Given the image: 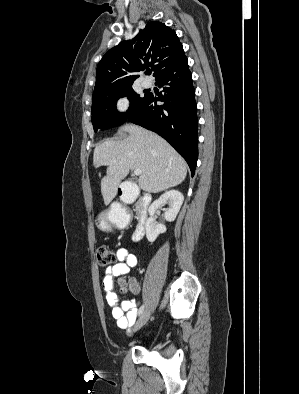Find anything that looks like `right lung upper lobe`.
Segmentation results:
<instances>
[{
    "label": "right lung upper lobe",
    "mask_w": 299,
    "mask_h": 394,
    "mask_svg": "<svg viewBox=\"0 0 299 394\" xmlns=\"http://www.w3.org/2000/svg\"><path fill=\"white\" fill-rule=\"evenodd\" d=\"M182 56L183 47L175 31L163 23L150 22L135 38L120 42L102 57L94 93L131 85L139 77L135 73L148 66L156 77Z\"/></svg>",
    "instance_id": "1"
}]
</instances>
